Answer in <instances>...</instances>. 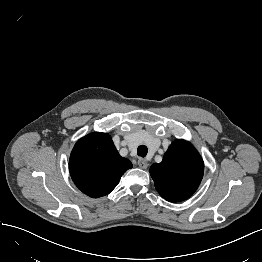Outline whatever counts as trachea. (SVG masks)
<instances>
[{
  "instance_id": "trachea-1",
  "label": "trachea",
  "mask_w": 262,
  "mask_h": 262,
  "mask_svg": "<svg viewBox=\"0 0 262 262\" xmlns=\"http://www.w3.org/2000/svg\"><path fill=\"white\" fill-rule=\"evenodd\" d=\"M148 153V148L145 145H140L137 149V154L140 157H145Z\"/></svg>"
}]
</instances>
